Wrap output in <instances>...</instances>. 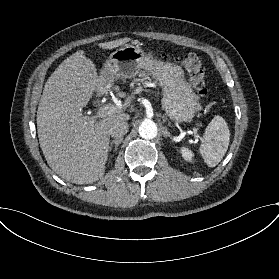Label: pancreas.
Wrapping results in <instances>:
<instances>
[{"instance_id":"obj_1","label":"pancreas","mask_w":279,"mask_h":279,"mask_svg":"<svg viewBox=\"0 0 279 279\" xmlns=\"http://www.w3.org/2000/svg\"><path fill=\"white\" fill-rule=\"evenodd\" d=\"M142 77H143V78H142L140 81H145V80H148V79H149L147 76L144 75V73H142ZM132 86H133V84H132Z\"/></svg>"}]
</instances>
